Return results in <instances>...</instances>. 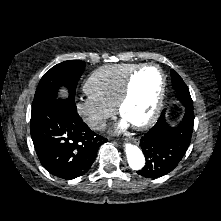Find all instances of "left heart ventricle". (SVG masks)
Wrapping results in <instances>:
<instances>
[{
	"mask_svg": "<svg viewBox=\"0 0 221 221\" xmlns=\"http://www.w3.org/2000/svg\"><path fill=\"white\" fill-rule=\"evenodd\" d=\"M161 88V75L156 68H146L133 80L132 94L122 109V117L132 125L144 122L153 112Z\"/></svg>",
	"mask_w": 221,
	"mask_h": 221,
	"instance_id": "1",
	"label": "left heart ventricle"
}]
</instances>
